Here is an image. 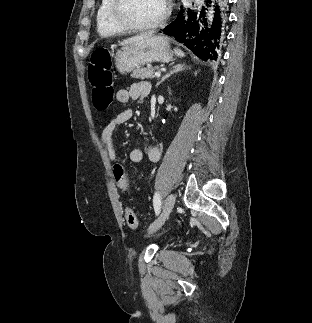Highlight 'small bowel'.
<instances>
[{"instance_id": "small-bowel-1", "label": "small bowel", "mask_w": 312, "mask_h": 323, "mask_svg": "<svg viewBox=\"0 0 312 323\" xmlns=\"http://www.w3.org/2000/svg\"><path fill=\"white\" fill-rule=\"evenodd\" d=\"M151 92V85L147 81H138L131 84L127 89H119L116 92V100L126 104L148 96ZM133 111L130 108L122 109L109 117L101 132V142L107 152L109 160L117 161V152L113 143V133L122 124L130 121ZM146 157L150 162L156 163L160 159V150L156 146H149L144 149L134 148L130 151V160L134 163L141 162ZM118 184V183H117Z\"/></svg>"}]
</instances>
